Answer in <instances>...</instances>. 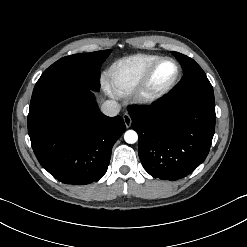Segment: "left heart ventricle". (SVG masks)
I'll list each match as a JSON object with an SVG mask.
<instances>
[{
	"mask_svg": "<svg viewBox=\"0 0 247 247\" xmlns=\"http://www.w3.org/2000/svg\"><path fill=\"white\" fill-rule=\"evenodd\" d=\"M176 66L172 61L166 60L161 62L155 69L148 90L156 92L168 86L176 76Z\"/></svg>",
	"mask_w": 247,
	"mask_h": 247,
	"instance_id": "obj_1",
	"label": "left heart ventricle"
}]
</instances>
